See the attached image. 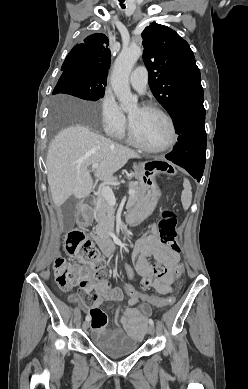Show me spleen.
Returning a JSON list of instances; mask_svg holds the SVG:
<instances>
[{
	"label": "spleen",
	"mask_w": 248,
	"mask_h": 389,
	"mask_svg": "<svg viewBox=\"0 0 248 389\" xmlns=\"http://www.w3.org/2000/svg\"><path fill=\"white\" fill-rule=\"evenodd\" d=\"M181 202L184 210H188L192 202V188L188 179L184 178Z\"/></svg>",
	"instance_id": "spleen-1"
}]
</instances>
